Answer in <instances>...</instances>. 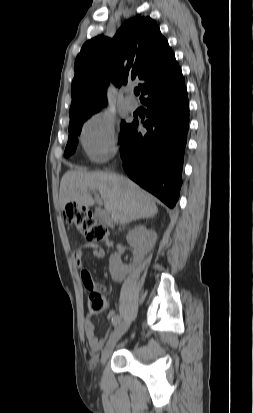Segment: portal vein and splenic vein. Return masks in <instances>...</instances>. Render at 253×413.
<instances>
[{
  "label": "portal vein and splenic vein",
  "instance_id": "portal-vein-and-splenic-vein-1",
  "mask_svg": "<svg viewBox=\"0 0 253 413\" xmlns=\"http://www.w3.org/2000/svg\"><path fill=\"white\" fill-rule=\"evenodd\" d=\"M96 200H97V198H96ZM98 203H99L100 205H102V201H101V200H98Z\"/></svg>",
  "mask_w": 253,
  "mask_h": 413
}]
</instances>
